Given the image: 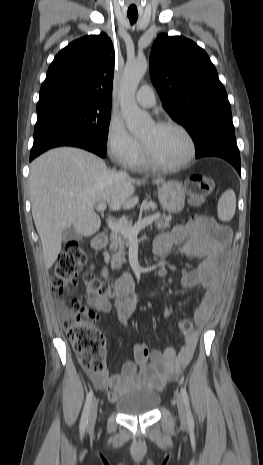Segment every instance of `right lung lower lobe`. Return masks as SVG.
<instances>
[{
    "label": "right lung lower lobe",
    "instance_id": "98d812e1",
    "mask_svg": "<svg viewBox=\"0 0 263 465\" xmlns=\"http://www.w3.org/2000/svg\"><path fill=\"white\" fill-rule=\"evenodd\" d=\"M58 146H74L83 148L99 155L100 157H105L106 155V151L90 139L74 133H59L44 137L41 140L34 142L30 153V161L46 150Z\"/></svg>",
    "mask_w": 263,
    "mask_h": 465
}]
</instances>
